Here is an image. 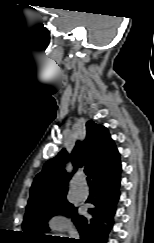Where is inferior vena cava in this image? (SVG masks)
Returning <instances> with one entry per match:
<instances>
[{"instance_id":"obj_1","label":"inferior vena cava","mask_w":154,"mask_h":243,"mask_svg":"<svg viewBox=\"0 0 154 243\" xmlns=\"http://www.w3.org/2000/svg\"><path fill=\"white\" fill-rule=\"evenodd\" d=\"M69 235H70L69 238H76L77 239L79 237L77 231L73 228H70Z\"/></svg>"}]
</instances>
